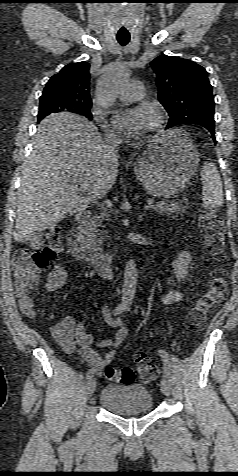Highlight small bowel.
I'll list each match as a JSON object with an SVG mask.
<instances>
[{
    "label": "small bowel",
    "instance_id": "small-bowel-1",
    "mask_svg": "<svg viewBox=\"0 0 238 476\" xmlns=\"http://www.w3.org/2000/svg\"><path fill=\"white\" fill-rule=\"evenodd\" d=\"M68 286V271L66 266L56 264L51 271L47 273L44 288L47 292H53L59 289H65ZM182 297L180 291L172 289L163 298L167 304L179 301ZM109 307L105 308L107 312ZM111 326L118 328L112 338H107L96 343L98 349H105L104 354H100L91 347L94 342L93 336L86 332L82 322L77 321L71 316L64 317L52 328V333L62 349L68 353H76L80 360L85 363L96 375H101L105 367L115 356L116 348L128 336V329L122 326L120 319L112 321Z\"/></svg>",
    "mask_w": 238,
    "mask_h": 476
}]
</instances>
